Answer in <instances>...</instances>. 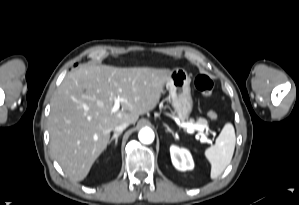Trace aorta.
<instances>
[{
  "mask_svg": "<svg viewBox=\"0 0 299 205\" xmlns=\"http://www.w3.org/2000/svg\"><path fill=\"white\" fill-rule=\"evenodd\" d=\"M154 132L152 129L145 127L139 131L138 138L143 144H151L154 141Z\"/></svg>",
  "mask_w": 299,
  "mask_h": 205,
  "instance_id": "1",
  "label": "aorta"
}]
</instances>
